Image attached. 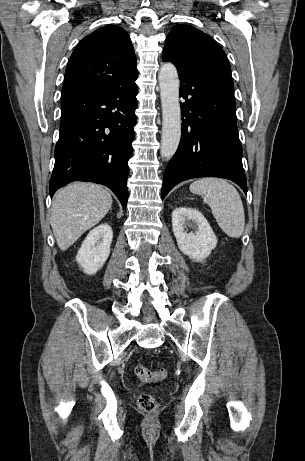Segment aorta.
Masks as SVG:
<instances>
[{
	"label": "aorta",
	"instance_id": "aorta-1",
	"mask_svg": "<svg viewBox=\"0 0 305 461\" xmlns=\"http://www.w3.org/2000/svg\"><path fill=\"white\" fill-rule=\"evenodd\" d=\"M162 105L161 156L169 160L175 154L181 137V109L179 104V78L176 67L164 63L158 73Z\"/></svg>",
	"mask_w": 305,
	"mask_h": 461
}]
</instances>
